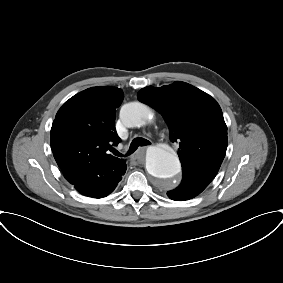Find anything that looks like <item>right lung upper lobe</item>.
<instances>
[{
  "label": "right lung upper lobe",
  "mask_w": 283,
  "mask_h": 283,
  "mask_svg": "<svg viewBox=\"0 0 283 283\" xmlns=\"http://www.w3.org/2000/svg\"><path fill=\"white\" fill-rule=\"evenodd\" d=\"M124 98L116 87L86 89L66 101L51 128V148L65 178L76 184L104 164L125 165L109 154L120 142L115 129L116 108Z\"/></svg>",
  "instance_id": "obj_1"
}]
</instances>
